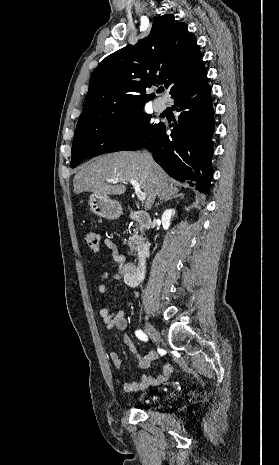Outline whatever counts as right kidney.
Returning a JSON list of instances; mask_svg holds the SVG:
<instances>
[{"instance_id": "ca27d5eb", "label": "right kidney", "mask_w": 279, "mask_h": 465, "mask_svg": "<svg viewBox=\"0 0 279 465\" xmlns=\"http://www.w3.org/2000/svg\"><path fill=\"white\" fill-rule=\"evenodd\" d=\"M173 215H175V210L174 209H167L162 214L161 221H162V226H163V228L165 230H168V228L170 226L171 217Z\"/></svg>"}]
</instances>
